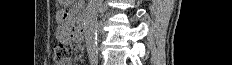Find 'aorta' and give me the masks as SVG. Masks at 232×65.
I'll return each instance as SVG.
<instances>
[{
    "label": "aorta",
    "instance_id": "762f6f07",
    "mask_svg": "<svg viewBox=\"0 0 232 65\" xmlns=\"http://www.w3.org/2000/svg\"><path fill=\"white\" fill-rule=\"evenodd\" d=\"M103 0H89L84 15V35L89 57L97 55V17Z\"/></svg>",
    "mask_w": 232,
    "mask_h": 65
}]
</instances>
